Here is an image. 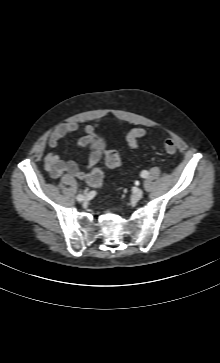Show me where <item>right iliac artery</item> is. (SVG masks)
I'll return each instance as SVG.
<instances>
[{
    "mask_svg": "<svg viewBox=\"0 0 220 363\" xmlns=\"http://www.w3.org/2000/svg\"><path fill=\"white\" fill-rule=\"evenodd\" d=\"M83 199H84L83 195H78V196H77V200H78V201H82Z\"/></svg>",
    "mask_w": 220,
    "mask_h": 363,
    "instance_id": "82829eb1",
    "label": "right iliac artery"
}]
</instances>
